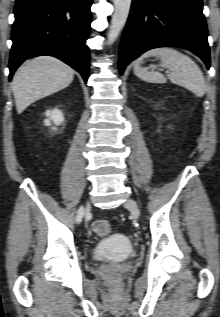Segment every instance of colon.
<instances>
[{"label": "colon", "instance_id": "5ec220e1", "mask_svg": "<svg viewBox=\"0 0 220 317\" xmlns=\"http://www.w3.org/2000/svg\"><path fill=\"white\" fill-rule=\"evenodd\" d=\"M92 229L96 235L104 237L110 233L111 226L110 223L106 220H96L93 223Z\"/></svg>", "mask_w": 220, "mask_h": 317}]
</instances>
